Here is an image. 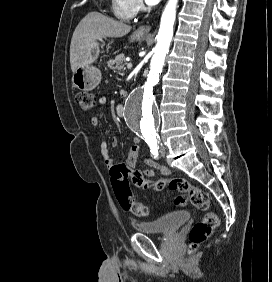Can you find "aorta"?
<instances>
[{
  "mask_svg": "<svg viewBox=\"0 0 272 282\" xmlns=\"http://www.w3.org/2000/svg\"><path fill=\"white\" fill-rule=\"evenodd\" d=\"M178 0H168L162 13L157 44L150 63L147 79L135 87L125 102V121L130 129L149 140L159 138V112L155 102L154 89L159 82L165 57L173 37Z\"/></svg>",
  "mask_w": 272,
  "mask_h": 282,
  "instance_id": "aorta-1",
  "label": "aorta"
}]
</instances>
